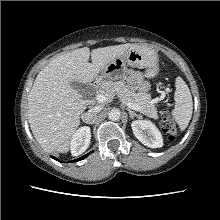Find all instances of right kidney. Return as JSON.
<instances>
[{"label":"right kidney","mask_w":220,"mask_h":220,"mask_svg":"<svg viewBox=\"0 0 220 220\" xmlns=\"http://www.w3.org/2000/svg\"><path fill=\"white\" fill-rule=\"evenodd\" d=\"M91 139L90 128L83 126L79 128L71 139V153L73 156H78L86 151L89 147Z\"/></svg>","instance_id":"obj_1"}]
</instances>
